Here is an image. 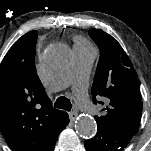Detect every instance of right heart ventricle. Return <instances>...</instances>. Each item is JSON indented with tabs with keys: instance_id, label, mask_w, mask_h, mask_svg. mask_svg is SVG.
Instances as JSON below:
<instances>
[{
	"instance_id": "1",
	"label": "right heart ventricle",
	"mask_w": 151,
	"mask_h": 151,
	"mask_svg": "<svg viewBox=\"0 0 151 151\" xmlns=\"http://www.w3.org/2000/svg\"><path fill=\"white\" fill-rule=\"evenodd\" d=\"M75 45H88L87 42L80 37L75 38Z\"/></svg>"
}]
</instances>
